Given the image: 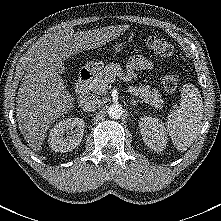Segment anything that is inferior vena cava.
<instances>
[{
	"label": "inferior vena cava",
	"mask_w": 221,
	"mask_h": 221,
	"mask_svg": "<svg viewBox=\"0 0 221 221\" xmlns=\"http://www.w3.org/2000/svg\"><path fill=\"white\" fill-rule=\"evenodd\" d=\"M102 102L100 99H98L97 97H94L88 101H86L83 104V111L85 112H93L95 111L97 108H99L101 106Z\"/></svg>",
	"instance_id": "1"
}]
</instances>
